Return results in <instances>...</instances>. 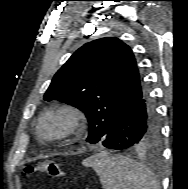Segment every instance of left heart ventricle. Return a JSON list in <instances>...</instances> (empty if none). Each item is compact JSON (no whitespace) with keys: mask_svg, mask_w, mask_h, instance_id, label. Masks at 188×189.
Instances as JSON below:
<instances>
[{"mask_svg":"<svg viewBox=\"0 0 188 189\" xmlns=\"http://www.w3.org/2000/svg\"><path fill=\"white\" fill-rule=\"evenodd\" d=\"M61 127V122L58 119H48L42 126V131L47 134L51 135L58 131Z\"/></svg>","mask_w":188,"mask_h":189,"instance_id":"1","label":"left heart ventricle"}]
</instances>
